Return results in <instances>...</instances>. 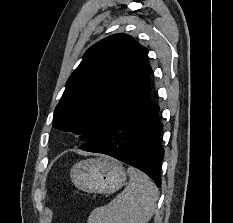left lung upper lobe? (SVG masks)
<instances>
[{"label":"left lung upper lobe","mask_w":233,"mask_h":223,"mask_svg":"<svg viewBox=\"0 0 233 223\" xmlns=\"http://www.w3.org/2000/svg\"><path fill=\"white\" fill-rule=\"evenodd\" d=\"M147 58L148 50L127 34L94 44L66 83L53 127L88 144L151 73Z\"/></svg>","instance_id":"left-lung-upper-lobe-1"}]
</instances>
